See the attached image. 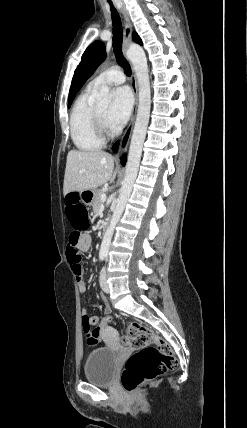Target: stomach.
<instances>
[{"label": "stomach", "instance_id": "obj_1", "mask_svg": "<svg viewBox=\"0 0 247 428\" xmlns=\"http://www.w3.org/2000/svg\"><path fill=\"white\" fill-rule=\"evenodd\" d=\"M80 195H81V199L83 200V202L86 203V205H93L95 195H96V189L85 190L81 192Z\"/></svg>", "mask_w": 247, "mask_h": 428}]
</instances>
